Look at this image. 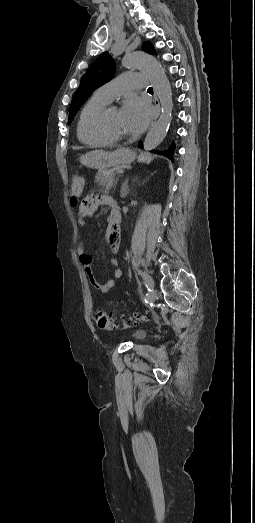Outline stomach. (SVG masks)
<instances>
[{
    "label": "stomach",
    "instance_id": "0dacf381",
    "mask_svg": "<svg viewBox=\"0 0 255 523\" xmlns=\"http://www.w3.org/2000/svg\"><path fill=\"white\" fill-rule=\"evenodd\" d=\"M135 158V154L129 148H118L115 152H108V154H101L99 151H89L81 160L86 167H93L94 170H108L113 166H121V164H131Z\"/></svg>",
    "mask_w": 255,
    "mask_h": 523
}]
</instances>
